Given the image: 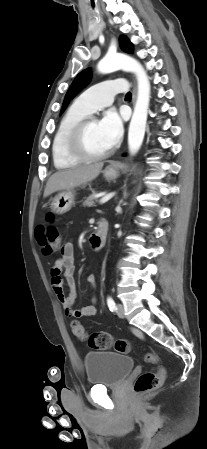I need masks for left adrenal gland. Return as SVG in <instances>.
Listing matches in <instances>:
<instances>
[{
	"instance_id": "1",
	"label": "left adrenal gland",
	"mask_w": 207,
	"mask_h": 449,
	"mask_svg": "<svg viewBox=\"0 0 207 449\" xmlns=\"http://www.w3.org/2000/svg\"><path fill=\"white\" fill-rule=\"evenodd\" d=\"M124 198H126L127 197V192H126V188L124 189Z\"/></svg>"
}]
</instances>
